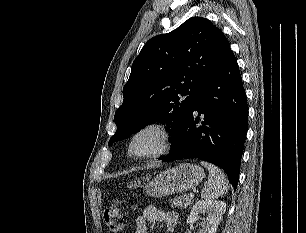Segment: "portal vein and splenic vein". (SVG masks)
<instances>
[{
    "label": "portal vein and splenic vein",
    "instance_id": "obj_1",
    "mask_svg": "<svg viewBox=\"0 0 306 233\" xmlns=\"http://www.w3.org/2000/svg\"><path fill=\"white\" fill-rule=\"evenodd\" d=\"M189 197H190V198H193V197H194V194H193V193H190V194H189Z\"/></svg>",
    "mask_w": 306,
    "mask_h": 233
}]
</instances>
